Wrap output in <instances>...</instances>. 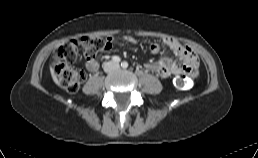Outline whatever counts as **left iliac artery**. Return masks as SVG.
I'll return each instance as SVG.
<instances>
[{
	"label": "left iliac artery",
	"instance_id": "left-iliac-artery-1",
	"mask_svg": "<svg viewBox=\"0 0 258 158\" xmlns=\"http://www.w3.org/2000/svg\"><path fill=\"white\" fill-rule=\"evenodd\" d=\"M121 66L123 68H127L128 67V63L126 61H124V62L121 63Z\"/></svg>",
	"mask_w": 258,
	"mask_h": 158
}]
</instances>
